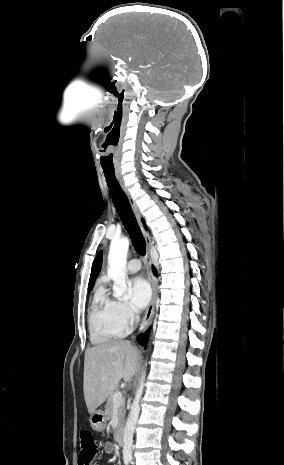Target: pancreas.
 <instances>
[{
  "label": "pancreas",
  "mask_w": 284,
  "mask_h": 465,
  "mask_svg": "<svg viewBox=\"0 0 284 465\" xmlns=\"http://www.w3.org/2000/svg\"><path fill=\"white\" fill-rule=\"evenodd\" d=\"M116 395V391H113L111 395L108 397L107 405L105 407V415L106 419H112L113 417V397ZM125 415H126V409H125V403H122L118 409V425L117 429L114 431V437L118 435L120 427H123L125 423Z\"/></svg>",
  "instance_id": "cf45deb5"
}]
</instances>
